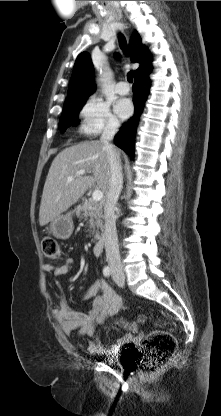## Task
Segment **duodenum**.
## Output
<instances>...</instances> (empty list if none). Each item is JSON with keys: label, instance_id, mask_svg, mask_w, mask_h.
<instances>
[{"label": "duodenum", "instance_id": "duodenum-1", "mask_svg": "<svg viewBox=\"0 0 221 416\" xmlns=\"http://www.w3.org/2000/svg\"><path fill=\"white\" fill-rule=\"evenodd\" d=\"M102 248H103V240L102 239L96 240L92 245V254L94 256H99L102 252Z\"/></svg>", "mask_w": 221, "mask_h": 416}]
</instances>
